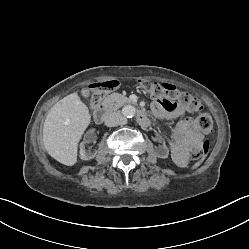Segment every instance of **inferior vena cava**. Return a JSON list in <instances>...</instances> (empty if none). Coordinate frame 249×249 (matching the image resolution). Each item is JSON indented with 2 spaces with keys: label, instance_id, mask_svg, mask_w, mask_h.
<instances>
[{
  "label": "inferior vena cava",
  "instance_id": "602c4592",
  "mask_svg": "<svg viewBox=\"0 0 249 249\" xmlns=\"http://www.w3.org/2000/svg\"><path fill=\"white\" fill-rule=\"evenodd\" d=\"M125 123L126 118L119 112L110 113L105 118V125L108 127L123 125Z\"/></svg>",
  "mask_w": 249,
  "mask_h": 249
}]
</instances>
